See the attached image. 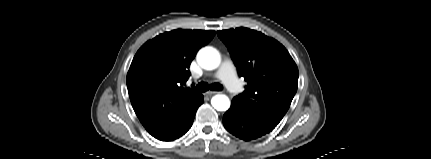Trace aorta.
Masks as SVG:
<instances>
[{"mask_svg":"<svg viewBox=\"0 0 431 159\" xmlns=\"http://www.w3.org/2000/svg\"><path fill=\"white\" fill-rule=\"evenodd\" d=\"M197 62L202 68L213 70L220 64V55L216 49L205 47L198 52ZM211 104L217 111H227L230 107V100L226 95L218 94L212 97Z\"/></svg>","mask_w":431,"mask_h":159,"instance_id":"obj_1","label":"aorta"}]
</instances>
